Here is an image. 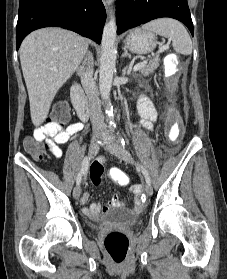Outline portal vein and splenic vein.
I'll list each match as a JSON object with an SVG mask.
<instances>
[{
    "instance_id": "18ae733b",
    "label": "portal vein and splenic vein",
    "mask_w": 227,
    "mask_h": 279,
    "mask_svg": "<svg viewBox=\"0 0 227 279\" xmlns=\"http://www.w3.org/2000/svg\"><path fill=\"white\" fill-rule=\"evenodd\" d=\"M168 48L167 45H161L159 50L156 52V56H158L160 53H162L163 51H165L166 49ZM147 64L146 61H143V62H140V63H137L134 67H133V71H137V70H140L143 66H145Z\"/></svg>"
}]
</instances>
